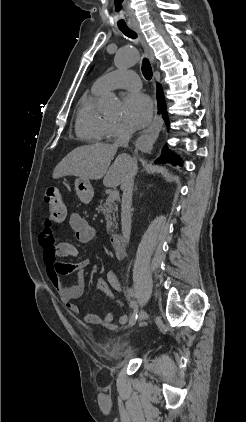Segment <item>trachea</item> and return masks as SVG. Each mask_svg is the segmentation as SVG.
<instances>
[{"mask_svg":"<svg viewBox=\"0 0 246 422\" xmlns=\"http://www.w3.org/2000/svg\"><path fill=\"white\" fill-rule=\"evenodd\" d=\"M119 29L122 31V33L132 39H135L137 37V34L132 31L131 29H129L128 27H119ZM142 73L143 76L147 79V80H151L152 78V67L151 64L149 62V60L147 58L143 59L142 62Z\"/></svg>","mask_w":246,"mask_h":422,"instance_id":"trachea-1","label":"trachea"}]
</instances>
